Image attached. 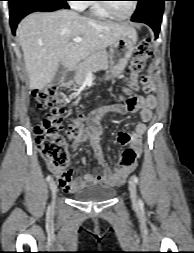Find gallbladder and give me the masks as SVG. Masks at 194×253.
Returning <instances> with one entry per match:
<instances>
[{"instance_id": "obj_1", "label": "gallbladder", "mask_w": 194, "mask_h": 253, "mask_svg": "<svg viewBox=\"0 0 194 253\" xmlns=\"http://www.w3.org/2000/svg\"><path fill=\"white\" fill-rule=\"evenodd\" d=\"M64 74H65V67L63 65H59L57 71H56V74L52 80V84L53 85H58L61 83L63 77H64Z\"/></svg>"}]
</instances>
